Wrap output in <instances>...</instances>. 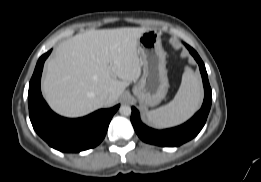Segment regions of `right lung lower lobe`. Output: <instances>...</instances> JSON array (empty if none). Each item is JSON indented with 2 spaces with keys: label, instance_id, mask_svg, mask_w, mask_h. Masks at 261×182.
Returning <instances> with one entry per match:
<instances>
[{
  "label": "right lung lower lobe",
  "instance_id": "right-lung-lower-lobe-1",
  "mask_svg": "<svg viewBox=\"0 0 261 182\" xmlns=\"http://www.w3.org/2000/svg\"><path fill=\"white\" fill-rule=\"evenodd\" d=\"M50 53L51 50L39 58L29 83L28 105L32 126L43 140L61 152H80L93 148L104 139L119 105L77 119L55 114L44 101L40 90L43 64Z\"/></svg>",
  "mask_w": 261,
  "mask_h": 182
}]
</instances>
